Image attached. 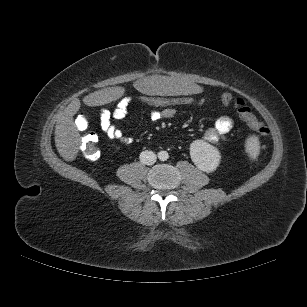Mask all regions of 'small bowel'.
I'll return each mask as SVG.
<instances>
[{
  "instance_id": "small-bowel-1",
  "label": "small bowel",
  "mask_w": 307,
  "mask_h": 307,
  "mask_svg": "<svg viewBox=\"0 0 307 307\" xmlns=\"http://www.w3.org/2000/svg\"><path fill=\"white\" fill-rule=\"evenodd\" d=\"M130 96H124L118 100L113 108H103L100 112V127L105 135L111 140L119 141L123 144H130L133 138L124 134L117 127L113 120H122L127 116L128 110L125 108V103ZM174 108L153 109L150 113V118L153 122H158L164 119H171L175 116ZM233 127V120L230 116H220L212 128L205 133V140L213 144H220L225 140L226 135Z\"/></svg>"
}]
</instances>
